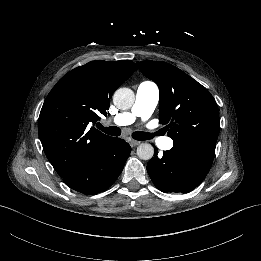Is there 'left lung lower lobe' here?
<instances>
[{
    "instance_id": "left-lung-lower-lobe-1",
    "label": "left lung lower lobe",
    "mask_w": 261,
    "mask_h": 261,
    "mask_svg": "<svg viewBox=\"0 0 261 261\" xmlns=\"http://www.w3.org/2000/svg\"><path fill=\"white\" fill-rule=\"evenodd\" d=\"M214 152L199 145H178L154 157L147 164V172L154 185L164 193H188L196 188L208 174Z\"/></svg>"
}]
</instances>
